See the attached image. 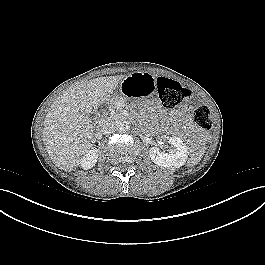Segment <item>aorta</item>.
<instances>
[{"label": "aorta", "instance_id": "obj_1", "mask_svg": "<svg viewBox=\"0 0 265 265\" xmlns=\"http://www.w3.org/2000/svg\"><path fill=\"white\" fill-rule=\"evenodd\" d=\"M116 127L120 130V131H128L130 126L128 124V122L120 120L116 123Z\"/></svg>", "mask_w": 265, "mask_h": 265}]
</instances>
